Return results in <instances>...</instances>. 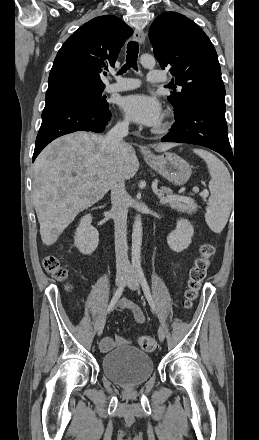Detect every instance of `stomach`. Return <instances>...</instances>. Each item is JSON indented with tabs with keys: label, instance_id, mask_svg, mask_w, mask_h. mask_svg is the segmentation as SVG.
Returning <instances> with one entry per match:
<instances>
[{
	"label": "stomach",
	"instance_id": "0dacf381",
	"mask_svg": "<svg viewBox=\"0 0 259 440\" xmlns=\"http://www.w3.org/2000/svg\"><path fill=\"white\" fill-rule=\"evenodd\" d=\"M147 164L174 185H184L191 176V166L184 159L171 152L145 156Z\"/></svg>",
	"mask_w": 259,
	"mask_h": 440
}]
</instances>
